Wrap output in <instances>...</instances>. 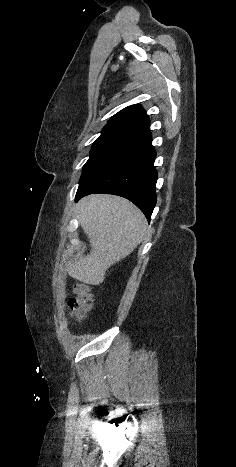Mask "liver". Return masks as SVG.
<instances>
[{
    "label": "liver",
    "mask_w": 236,
    "mask_h": 467,
    "mask_svg": "<svg viewBox=\"0 0 236 467\" xmlns=\"http://www.w3.org/2000/svg\"><path fill=\"white\" fill-rule=\"evenodd\" d=\"M77 210L91 251L86 257L68 263L66 270L80 282L99 285L109 267L142 242L148 223L134 204L119 196L90 195L79 201Z\"/></svg>",
    "instance_id": "liver-1"
}]
</instances>
